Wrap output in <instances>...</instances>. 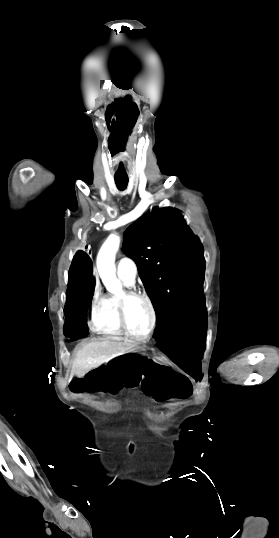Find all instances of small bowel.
Here are the masks:
<instances>
[{
  "mask_svg": "<svg viewBox=\"0 0 279 538\" xmlns=\"http://www.w3.org/2000/svg\"><path fill=\"white\" fill-rule=\"evenodd\" d=\"M141 387L146 395L161 403L186 400L192 391L188 378L171 369H157L144 375Z\"/></svg>",
  "mask_w": 279,
  "mask_h": 538,
  "instance_id": "c3829d8e",
  "label": "small bowel"
}]
</instances>
